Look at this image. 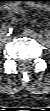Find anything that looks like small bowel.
Masks as SVG:
<instances>
[{"mask_svg":"<svg viewBox=\"0 0 50 111\" xmlns=\"http://www.w3.org/2000/svg\"><path fill=\"white\" fill-rule=\"evenodd\" d=\"M10 12H11L12 14H18V13H21V12H22V9H21L20 7H15V8H12V9L10 10Z\"/></svg>","mask_w":50,"mask_h":111,"instance_id":"c3829d8e","label":"small bowel"}]
</instances>
